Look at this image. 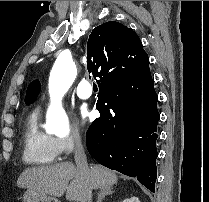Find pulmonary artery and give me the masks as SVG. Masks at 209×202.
I'll use <instances>...</instances> for the list:
<instances>
[{"instance_id":"obj_1","label":"pulmonary artery","mask_w":209,"mask_h":202,"mask_svg":"<svg viewBox=\"0 0 209 202\" xmlns=\"http://www.w3.org/2000/svg\"><path fill=\"white\" fill-rule=\"evenodd\" d=\"M93 92L92 86L89 84L88 80L84 78L77 88V95L80 99H88Z\"/></svg>"}]
</instances>
